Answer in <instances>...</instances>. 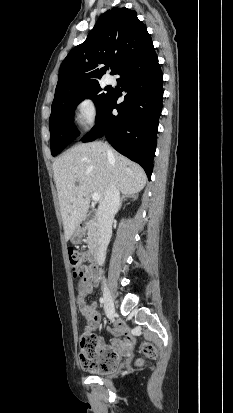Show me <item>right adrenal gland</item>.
Returning <instances> with one entry per match:
<instances>
[{"label":"right adrenal gland","instance_id":"1","mask_svg":"<svg viewBox=\"0 0 233 413\" xmlns=\"http://www.w3.org/2000/svg\"><path fill=\"white\" fill-rule=\"evenodd\" d=\"M129 198H132L133 200H136L137 198H138V196L136 195V194H123V196H122V198H121V201H120V206H119V208H121V206H122V203L125 201V200H127V199H129Z\"/></svg>","mask_w":233,"mask_h":413}]
</instances>
